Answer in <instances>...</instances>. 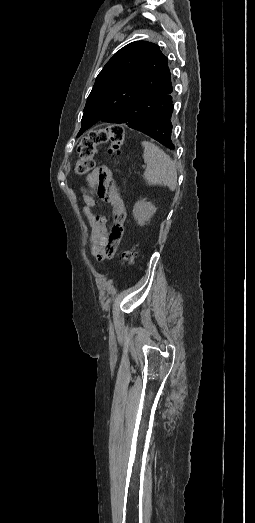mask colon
Returning <instances> with one entry per match:
<instances>
[{
  "mask_svg": "<svg viewBox=\"0 0 255 523\" xmlns=\"http://www.w3.org/2000/svg\"><path fill=\"white\" fill-rule=\"evenodd\" d=\"M124 142V130L118 125L90 131L77 146L79 159L75 165V173L79 176L87 174L95 166L94 155L100 145L108 144V154L115 156ZM137 257L134 248L123 250L118 259L123 265H132Z\"/></svg>",
  "mask_w": 255,
  "mask_h": 523,
  "instance_id": "colon-1",
  "label": "colon"
}]
</instances>
